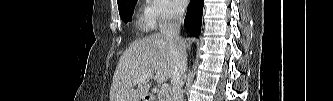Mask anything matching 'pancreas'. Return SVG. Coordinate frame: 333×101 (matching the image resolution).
Here are the masks:
<instances>
[{
    "instance_id": "pancreas-1",
    "label": "pancreas",
    "mask_w": 333,
    "mask_h": 101,
    "mask_svg": "<svg viewBox=\"0 0 333 101\" xmlns=\"http://www.w3.org/2000/svg\"><path fill=\"white\" fill-rule=\"evenodd\" d=\"M158 101H170V95L168 93H159L158 95Z\"/></svg>"
}]
</instances>
